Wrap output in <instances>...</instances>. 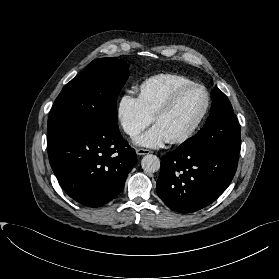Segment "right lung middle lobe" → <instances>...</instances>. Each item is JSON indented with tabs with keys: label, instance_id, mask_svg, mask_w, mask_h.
<instances>
[{
	"label": "right lung middle lobe",
	"instance_id": "right-lung-middle-lobe-1",
	"mask_svg": "<svg viewBox=\"0 0 279 279\" xmlns=\"http://www.w3.org/2000/svg\"><path fill=\"white\" fill-rule=\"evenodd\" d=\"M129 65L122 59L100 58L67 83L48 119L47 143L75 132L117 125V97Z\"/></svg>",
	"mask_w": 279,
	"mask_h": 279
}]
</instances>
